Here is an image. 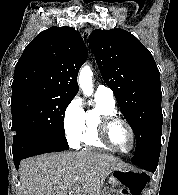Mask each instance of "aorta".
<instances>
[{"label": "aorta", "instance_id": "obj_1", "mask_svg": "<svg viewBox=\"0 0 178 195\" xmlns=\"http://www.w3.org/2000/svg\"><path fill=\"white\" fill-rule=\"evenodd\" d=\"M92 70L89 65L85 64L79 72L78 84L83 94L87 97L93 94V80H92Z\"/></svg>", "mask_w": 178, "mask_h": 195}]
</instances>
